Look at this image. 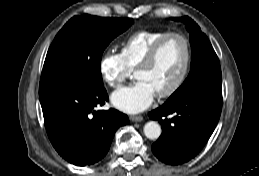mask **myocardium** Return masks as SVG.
I'll use <instances>...</instances> for the list:
<instances>
[{
	"mask_svg": "<svg viewBox=\"0 0 259 176\" xmlns=\"http://www.w3.org/2000/svg\"><path fill=\"white\" fill-rule=\"evenodd\" d=\"M171 37H177L183 42L184 48H185V59H184L183 66L180 70V73L178 74L175 81L166 90L157 93V96L159 98H168V97L172 96L173 94H175L179 90V88L182 86V84L184 83V81L186 79V76L188 74V71H189V68L191 65V60H192L191 43H190V40L188 39V37H186L184 34H181L178 32H167L165 35H163L161 38H159L153 44V46L147 52L145 57L141 60V62L135 68V72H137L138 70L149 67L155 61V59L158 55V52H159L161 46L163 45V43Z\"/></svg>",
	"mask_w": 259,
	"mask_h": 176,
	"instance_id": "myocardium-1",
	"label": "myocardium"
}]
</instances>
